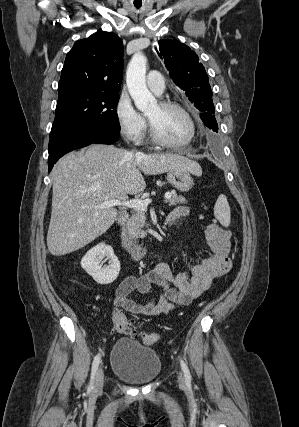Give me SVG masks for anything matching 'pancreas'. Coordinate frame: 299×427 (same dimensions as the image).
<instances>
[{
	"instance_id": "cf45deb5",
	"label": "pancreas",
	"mask_w": 299,
	"mask_h": 427,
	"mask_svg": "<svg viewBox=\"0 0 299 427\" xmlns=\"http://www.w3.org/2000/svg\"><path fill=\"white\" fill-rule=\"evenodd\" d=\"M185 198L183 196H178L176 193H171V197L166 200L170 206H175L179 203L185 202ZM148 226L146 223V212L136 210L131 218L129 219L126 229L125 235L130 240H137L138 238H144L147 236V231H144V227Z\"/></svg>"
}]
</instances>
